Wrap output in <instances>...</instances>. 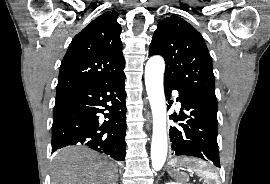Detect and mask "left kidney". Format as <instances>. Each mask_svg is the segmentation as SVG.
I'll list each match as a JSON object with an SVG mask.
<instances>
[{
	"instance_id": "obj_1",
	"label": "left kidney",
	"mask_w": 270,
	"mask_h": 184,
	"mask_svg": "<svg viewBox=\"0 0 270 184\" xmlns=\"http://www.w3.org/2000/svg\"><path fill=\"white\" fill-rule=\"evenodd\" d=\"M165 184H178V183H175V182H168V183H165Z\"/></svg>"
}]
</instances>
